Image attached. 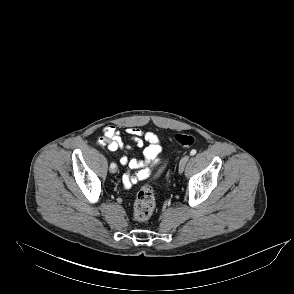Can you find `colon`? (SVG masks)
Listing matches in <instances>:
<instances>
[{
    "label": "colon",
    "mask_w": 294,
    "mask_h": 294,
    "mask_svg": "<svg viewBox=\"0 0 294 294\" xmlns=\"http://www.w3.org/2000/svg\"><path fill=\"white\" fill-rule=\"evenodd\" d=\"M176 142L184 147L189 148L195 143V138L192 135L177 134ZM156 207L155 196L150 186H143L137 193L134 201V218L138 222L148 221Z\"/></svg>",
    "instance_id": "obj_1"
}]
</instances>
